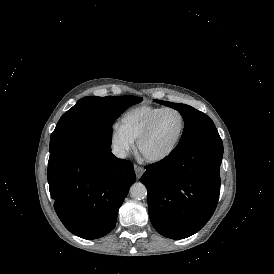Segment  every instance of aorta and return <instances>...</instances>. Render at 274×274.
<instances>
[{"label":"aorta","instance_id":"aorta-1","mask_svg":"<svg viewBox=\"0 0 274 274\" xmlns=\"http://www.w3.org/2000/svg\"><path fill=\"white\" fill-rule=\"evenodd\" d=\"M130 196L133 199L141 200L147 196V188L141 182L134 183L130 188Z\"/></svg>","mask_w":274,"mask_h":274}]
</instances>
